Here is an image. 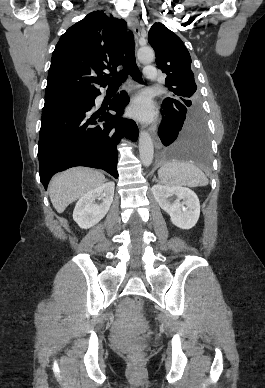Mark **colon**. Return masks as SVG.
<instances>
[{"instance_id":"5ec220e1","label":"colon","mask_w":265,"mask_h":388,"mask_svg":"<svg viewBox=\"0 0 265 388\" xmlns=\"http://www.w3.org/2000/svg\"><path fill=\"white\" fill-rule=\"evenodd\" d=\"M133 306L139 314H143L145 308V300L142 297H136ZM127 352L133 358H138L140 356V350L138 348L127 349Z\"/></svg>"}]
</instances>
